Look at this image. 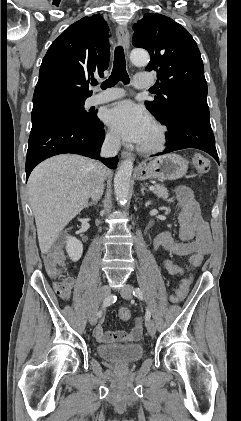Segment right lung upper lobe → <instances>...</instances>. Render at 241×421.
Segmentation results:
<instances>
[{"mask_svg": "<svg viewBox=\"0 0 241 421\" xmlns=\"http://www.w3.org/2000/svg\"><path fill=\"white\" fill-rule=\"evenodd\" d=\"M109 28L98 14L69 26L43 58L33 106L58 100H86L94 74L103 76L109 66Z\"/></svg>", "mask_w": 241, "mask_h": 421, "instance_id": "cb5924a9", "label": "right lung upper lobe"}]
</instances>
